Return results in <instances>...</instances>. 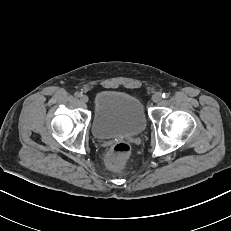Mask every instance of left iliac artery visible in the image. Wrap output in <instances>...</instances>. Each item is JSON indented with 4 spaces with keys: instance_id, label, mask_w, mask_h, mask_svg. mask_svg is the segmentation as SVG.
<instances>
[{
    "instance_id": "left-iliac-artery-1",
    "label": "left iliac artery",
    "mask_w": 231,
    "mask_h": 231,
    "mask_svg": "<svg viewBox=\"0 0 231 231\" xmlns=\"http://www.w3.org/2000/svg\"><path fill=\"white\" fill-rule=\"evenodd\" d=\"M169 97V93H163L162 94V98H168Z\"/></svg>"
}]
</instances>
